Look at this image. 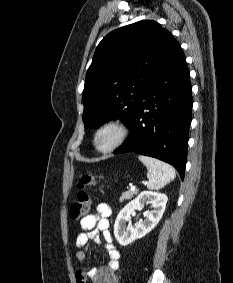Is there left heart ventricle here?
I'll return each instance as SVG.
<instances>
[{
  "label": "left heart ventricle",
  "instance_id": "1",
  "mask_svg": "<svg viewBox=\"0 0 233 283\" xmlns=\"http://www.w3.org/2000/svg\"><path fill=\"white\" fill-rule=\"evenodd\" d=\"M114 132L111 130L104 131L98 137V145L102 148L109 146L114 140Z\"/></svg>",
  "mask_w": 233,
  "mask_h": 283
}]
</instances>
